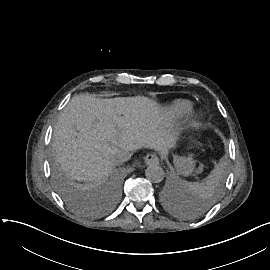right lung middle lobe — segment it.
I'll use <instances>...</instances> for the list:
<instances>
[{"mask_svg":"<svg viewBox=\"0 0 270 270\" xmlns=\"http://www.w3.org/2000/svg\"><path fill=\"white\" fill-rule=\"evenodd\" d=\"M56 186L60 193V195L63 197V199L74 209L81 210L86 213H89L87 209H85L70 193V191L67 188V184L65 180H63L60 176L56 177Z\"/></svg>","mask_w":270,"mask_h":270,"instance_id":"1","label":"right lung middle lobe"}]
</instances>
